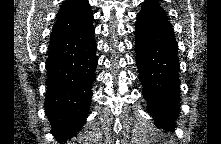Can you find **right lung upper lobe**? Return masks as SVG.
<instances>
[{"instance_id":"obj_1","label":"right lung upper lobe","mask_w":221,"mask_h":144,"mask_svg":"<svg viewBox=\"0 0 221 144\" xmlns=\"http://www.w3.org/2000/svg\"><path fill=\"white\" fill-rule=\"evenodd\" d=\"M93 14L87 0H69L60 7L50 43L65 38L92 23Z\"/></svg>"}]
</instances>
